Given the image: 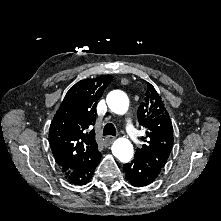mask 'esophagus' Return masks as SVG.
Wrapping results in <instances>:
<instances>
[{
    "instance_id": "34e87169",
    "label": "esophagus",
    "mask_w": 221,
    "mask_h": 221,
    "mask_svg": "<svg viewBox=\"0 0 221 221\" xmlns=\"http://www.w3.org/2000/svg\"><path fill=\"white\" fill-rule=\"evenodd\" d=\"M115 140V137L114 136H107L105 138V141L109 144H111L113 141Z\"/></svg>"
}]
</instances>
